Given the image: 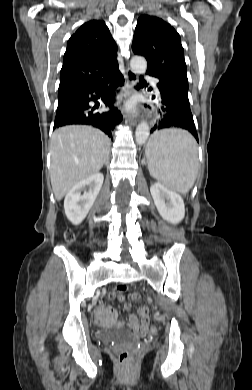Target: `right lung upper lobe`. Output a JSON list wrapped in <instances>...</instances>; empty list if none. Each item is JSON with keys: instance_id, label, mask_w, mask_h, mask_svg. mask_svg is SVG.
<instances>
[{"instance_id": "obj_1", "label": "right lung upper lobe", "mask_w": 252, "mask_h": 390, "mask_svg": "<svg viewBox=\"0 0 252 390\" xmlns=\"http://www.w3.org/2000/svg\"><path fill=\"white\" fill-rule=\"evenodd\" d=\"M117 45L103 21L83 24L69 39L60 72L58 101L100 84L116 69Z\"/></svg>"}]
</instances>
